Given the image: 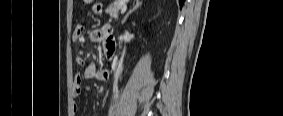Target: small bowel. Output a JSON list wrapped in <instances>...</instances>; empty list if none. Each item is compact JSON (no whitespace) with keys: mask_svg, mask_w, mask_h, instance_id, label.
Wrapping results in <instances>:
<instances>
[{"mask_svg":"<svg viewBox=\"0 0 283 116\" xmlns=\"http://www.w3.org/2000/svg\"><path fill=\"white\" fill-rule=\"evenodd\" d=\"M93 12L95 14H100L102 12L101 3L96 2L93 5ZM90 39L94 42H102L106 46V52L112 55L116 48V41L111 36V29L108 25H104L101 28L94 29L89 34ZM73 41H82L83 39V28H77L73 35ZM77 63L80 65H85L84 71L82 73H77L74 78L73 84V96L79 98L84 95V90L82 88V83L84 80H101L108 81L110 78L109 72L106 69L99 68L95 62L85 63V59L82 56L77 57ZM113 94L112 91H107L105 98L103 99V105L107 102L109 96ZM78 111V105L75 104L74 112Z\"/></svg>","mask_w":283,"mask_h":116,"instance_id":"small-bowel-1","label":"small bowel"}]
</instances>
